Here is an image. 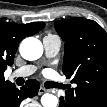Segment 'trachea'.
<instances>
[{
  "label": "trachea",
  "mask_w": 107,
  "mask_h": 107,
  "mask_svg": "<svg viewBox=\"0 0 107 107\" xmlns=\"http://www.w3.org/2000/svg\"><path fill=\"white\" fill-rule=\"evenodd\" d=\"M57 87H59V85L57 83L48 82V88H57Z\"/></svg>",
  "instance_id": "obj_1"
}]
</instances>
